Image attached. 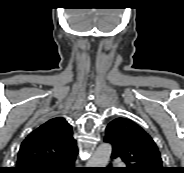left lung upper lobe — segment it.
<instances>
[{
    "label": "left lung upper lobe",
    "instance_id": "1",
    "mask_svg": "<svg viewBox=\"0 0 184 173\" xmlns=\"http://www.w3.org/2000/svg\"><path fill=\"white\" fill-rule=\"evenodd\" d=\"M105 142L112 145V156L127 165L128 173H165L159 150L149 134L127 118H116L106 127Z\"/></svg>",
    "mask_w": 184,
    "mask_h": 173
}]
</instances>
